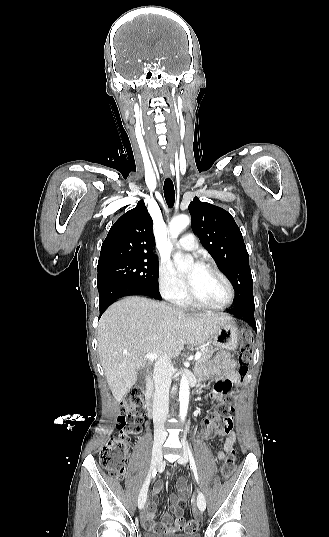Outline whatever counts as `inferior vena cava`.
I'll return each mask as SVG.
<instances>
[{
    "mask_svg": "<svg viewBox=\"0 0 329 537\" xmlns=\"http://www.w3.org/2000/svg\"><path fill=\"white\" fill-rule=\"evenodd\" d=\"M171 359L162 354L154 365L153 379L155 392L153 398V423L155 432L165 433L164 424L168 417L169 388L171 385Z\"/></svg>",
    "mask_w": 329,
    "mask_h": 537,
    "instance_id": "1",
    "label": "inferior vena cava"
}]
</instances>
